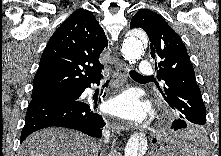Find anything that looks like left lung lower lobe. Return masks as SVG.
Listing matches in <instances>:
<instances>
[{
  "label": "left lung lower lobe",
  "instance_id": "1",
  "mask_svg": "<svg viewBox=\"0 0 221 156\" xmlns=\"http://www.w3.org/2000/svg\"><path fill=\"white\" fill-rule=\"evenodd\" d=\"M188 124L189 123H187L185 120L175 119L172 123L171 128L176 131L178 129L186 128ZM155 142H156V139L153 138V143H155Z\"/></svg>",
  "mask_w": 221,
  "mask_h": 156
}]
</instances>
